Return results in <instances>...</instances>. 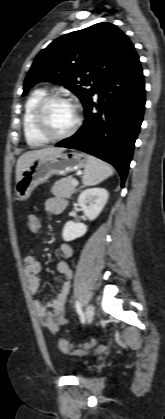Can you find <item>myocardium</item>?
<instances>
[{
  "mask_svg": "<svg viewBox=\"0 0 165 419\" xmlns=\"http://www.w3.org/2000/svg\"><path fill=\"white\" fill-rule=\"evenodd\" d=\"M56 101L67 102L70 103L76 113L75 121L73 125L64 133L61 134H53L47 125L45 113L47 107ZM82 116H81V109L80 106L70 97L61 95V94H50L45 95L36 105L34 110V125L37 132L45 138L47 141H59L64 140L72 136L79 128L81 124Z\"/></svg>",
  "mask_w": 165,
  "mask_h": 419,
  "instance_id": "f54148a6",
  "label": "myocardium"
}]
</instances>
